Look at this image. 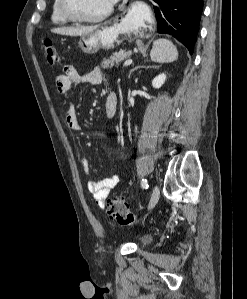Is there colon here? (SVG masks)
I'll return each instance as SVG.
<instances>
[{"label": "colon", "instance_id": "obj_1", "mask_svg": "<svg viewBox=\"0 0 247 299\" xmlns=\"http://www.w3.org/2000/svg\"><path fill=\"white\" fill-rule=\"evenodd\" d=\"M43 47L46 61L50 65L58 63L59 54L54 42L46 39L44 40ZM108 213L120 225L129 226L135 222V215L130 210L129 204L122 199L114 198L109 200Z\"/></svg>", "mask_w": 247, "mask_h": 299}]
</instances>
